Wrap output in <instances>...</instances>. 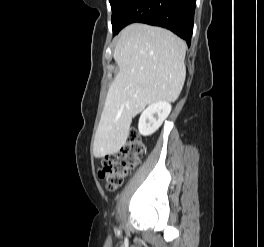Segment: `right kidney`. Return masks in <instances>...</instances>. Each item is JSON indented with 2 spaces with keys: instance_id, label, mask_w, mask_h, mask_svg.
I'll list each match as a JSON object with an SVG mask.
<instances>
[{
  "instance_id": "1",
  "label": "right kidney",
  "mask_w": 264,
  "mask_h": 247,
  "mask_svg": "<svg viewBox=\"0 0 264 247\" xmlns=\"http://www.w3.org/2000/svg\"><path fill=\"white\" fill-rule=\"evenodd\" d=\"M171 108L170 103L165 101L149 105L140 116L138 123L139 133L143 136L153 134L168 117Z\"/></svg>"
}]
</instances>
